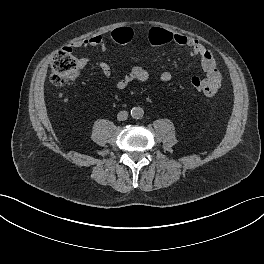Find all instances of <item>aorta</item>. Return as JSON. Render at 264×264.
<instances>
[{
  "label": "aorta",
  "instance_id": "aorta-1",
  "mask_svg": "<svg viewBox=\"0 0 264 264\" xmlns=\"http://www.w3.org/2000/svg\"><path fill=\"white\" fill-rule=\"evenodd\" d=\"M144 115V110L141 107H133L131 109V116L135 119H141Z\"/></svg>",
  "mask_w": 264,
  "mask_h": 264
}]
</instances>
